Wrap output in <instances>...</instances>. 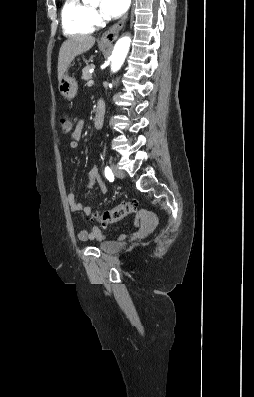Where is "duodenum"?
Here are the masks:
<instances>
[{"instance_id": "obj_1", "label": "duodenum", "mask_w": 254, "mask_h": 397, "mask_svg": "<svg viewBox=\"0 0 254 397\" xmlns=\"http://www.w3.org/2000/svg\"><path fill=\"white\" fill-rule=\"evenodd\" d=\"M106 107L105 103L100 100L97 104L95 115H94V127L99 129L102 127L105 118Z\"/></svg>"}]
</instances>
